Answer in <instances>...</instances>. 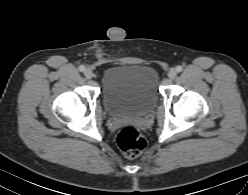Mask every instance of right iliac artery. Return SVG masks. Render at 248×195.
<instances>
[{
    "label": "right iliac artery",
    "mask_w": 248,
    "mask_h": 195,
    "mask_svg": "<svg viewBox=\"0 0 248 195\" xmlns=\"http://www.w3.org/2000/svg\"><path fill=\"white\" fill-rule=\"evenodd\" d=\"M79 71L84 72L85 71V67L83 65L79 66Z\"/></svg>",
    "instance_id": "obj_1"
}]
</instances>
